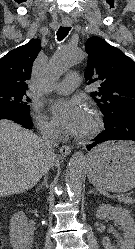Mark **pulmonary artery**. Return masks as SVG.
<instances>
[{
  "mask_svg": "<svg viewBox=\"0 0 135 249\" xmlns=\"http://www.w3.org/2000/svg\"><path fill=\"white\" fill-rule=\"evenodd\" d=\"M80 85V75L77 73H70L66 78L53 86L54 91L60 94H69Z\"/></svg>",
  "mask_w": 135,
  "mask_h": 249,
  "instance_id": "pulmonary-artery-1",
  "label": "pulmonary artery"
}]
</instances>
